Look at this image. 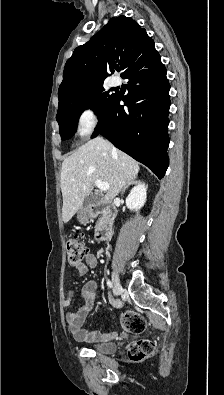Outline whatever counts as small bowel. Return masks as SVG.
I'll return each mask as SVG.
<instances>
[{
  "label": "small bowel",
  "mask_w": 224,
  "mask_h": 395,
  "mask_svg": "<svg viewBox=\"0 0 224 395\" xmlns=\"http://www.w3.org/2000/svg\"><path fill=\"white\" fill-rule=\"evenodd\" d=\"M87 265L94 268L97 265L96 257L93 254H87L85 257V263H80L75 266L77 274L83 276L87 272ZM82 298L83 301L75 311H67L65 314L66 323L72 336L83 342H99L105 340H111L117 337L114 331L103 332L96 328L94 330H87L83 328L84 322L86 321L90 311L92 310L96 297L98 295L97 283L93 280L88 281L82 287ZM74 292L70 289L67 293L63 305L68 309L72 303ZM125 336V334H123Z\"/></svg>",
  "instance_id": "small-bowel-1"
}]
</instances>
